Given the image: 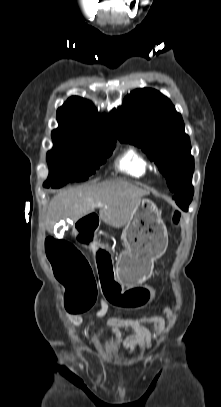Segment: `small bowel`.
I'll list each match as a JSON object with an SVG mask.
<instances>
[{
    "instance_id": "c3829d8e",
    "label": "small bowel",
    "mask_w": 221,
    "mask_h": 407,
    "mask_svg": "<svg viewBox=\"0 0 221 407\" xmlns=\"http://www.w3.org/2000/svg\"><path fill=\"white\" fill-rule=\"evenodd\" d=\"M163 314L165 319H168L171 315V310L165 309ZM95 316L99 318L108 316L111 338L107 340V343L118 346L127 352H133L137 349L145 350L151 345V334L142 325L143 321L150 323L157 334H160L166 326V320L162 317L121 319L111 316L109 306L105 300L100 301L99 308L95 311ZM72 322L75 326H80L82 318L75 316L72 318ZM120 328H130L133 330V334L123 338Z\"/></svg>"
}]
</instances>
